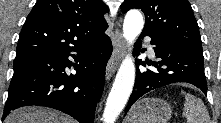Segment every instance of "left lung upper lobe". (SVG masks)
Wrapping results in <instances>:
<instances>
[{
	"label": "left lung upper lobe",
	"mask_w": 221,
	"mask_h": 123,
	"mask_svg": "<svg viewBox=\"0 0 221 123\" xmlns=\"http://www.w3.org/2000/svg\"><path fill=\"white\" fill-rule=\"evenodd\" d=\"M122 12L141 9L146 17L142 32L162 41L202 50V42L193 10L187 0H125Z\"/></svg>",
	"instance_id": "obj_1"
}]
</instances>
